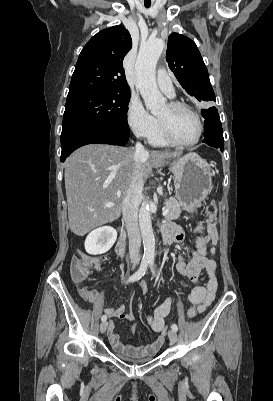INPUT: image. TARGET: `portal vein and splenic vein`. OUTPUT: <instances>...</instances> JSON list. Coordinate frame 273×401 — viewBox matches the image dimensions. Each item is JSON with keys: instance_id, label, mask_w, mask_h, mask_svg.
Here are the masks:
<instances>
[{"instance_id": "obj_1", "label": "portal vein and splenic vein", "mask_w": 273, "mask_h": 401, "mask_svg": "<svg viewBox=\"0 0 273 401\" xmlns=\"http://www.w3.org/2000/svg\"><path fill=\"white\" fill-rule=\"evenodd\" d=\"M104 207H114V203H105ZM168 209H171V206H166V205L162 206L163 217H165V215H167Z\"/></svg>"}]
</instances>
